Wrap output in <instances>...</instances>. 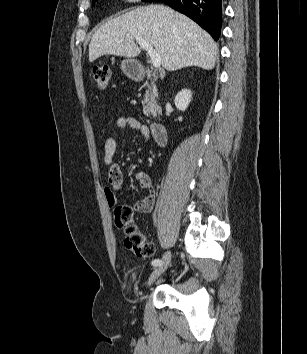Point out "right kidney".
<instances>
[{"instance_id":"right-kidney-1","label":"right kidney","mask_w":307,"mask_h":354,"mask_svg":"<svg viewBox=\"0 0 307 354\" xmlns=\"http://www.w3.org/2000/svg\"><path fill=\"white\" fill-rule=\"evenodd\" d=\"M192 98V93L190 90L182 89L177 93L174 99L175 106L181 111H185L188 107Z\"/></svg>"}]
</instances>
